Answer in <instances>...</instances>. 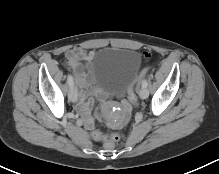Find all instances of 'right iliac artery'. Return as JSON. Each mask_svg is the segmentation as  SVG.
I'll use <instances>...</instances> for the list:
<instances>
[{"mask_svg":"<svg viewBox=\"0 0 219 174\" xmlns=\"http://www.w3.org/2000/svg\"><path fill=\"white\" fill-rule=\"evenodd\" d=\"M67 81L70 87L74 85L73 77L71 74L68 75Z\"/></svg>","mask_w":219,"mask_h":174,"instance_id":"right-iliac-artery-1","label":"right iliac artery"}]
</instances>
